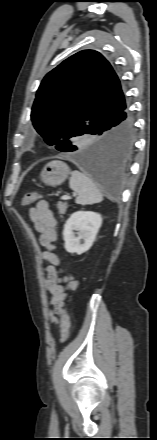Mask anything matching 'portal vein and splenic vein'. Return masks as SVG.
<instances>
[{
  "label": "portal vein and splenic vein",
  "instance_id": "1",
  "mask_svg": "<svg viewBox=\"0 0 157 440\" xmlns=\"http://www.w3.org/2000/svg\"><path fill=\"white\" fill-rule=\"evenodd\" d=\"M61 199H62V200H68V199H70V196H68V195H63V196L61 197Z\"/></svg>",
  "mask_w": 157,
  "mask_h": 440
}]
</instances>
